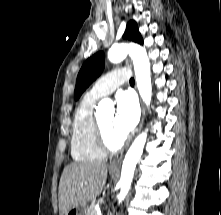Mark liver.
<instances>
[{
  "label": "liver",
  "instance_id": "6515ba94",
  "mask_svg": "<svg viewBox=\"0 0 221 215\" xmlns=\"http://www.w3.org/2000/svg\"><path fill=\"white\" fill-rule=\"evenodd\" d=\"M106 163H73L65 167L59 184V214L87 203L102 191L107 179Z\"/></svg>",
  "mask_w": 221,
  "mask_h": 215
}]
</instances>
